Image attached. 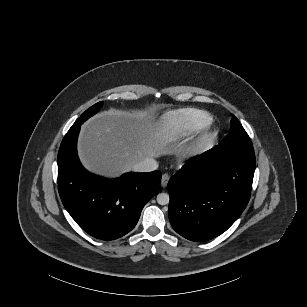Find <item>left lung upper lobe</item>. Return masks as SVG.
Wrapping results in <instances>:
<instances>
[{"mask_svg":"<svg viewBox=\"0 0 307 307\" xmlns=\"http://www.w3.org/2000/svg\"><path fill=\"white\" fill-rule=\"evenodd\" d=\"M217 146L253 149L248 134L235 116L231 119L230 132Z\"/></svg>","mask_w":307,"mask_h":307,"instance_id":"5c2ea615","label":"left lung upper lobe"}]
</instances>
